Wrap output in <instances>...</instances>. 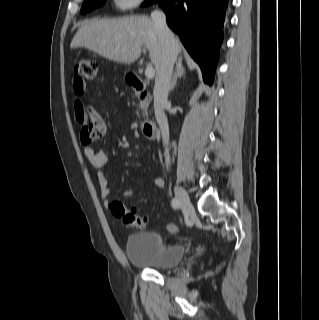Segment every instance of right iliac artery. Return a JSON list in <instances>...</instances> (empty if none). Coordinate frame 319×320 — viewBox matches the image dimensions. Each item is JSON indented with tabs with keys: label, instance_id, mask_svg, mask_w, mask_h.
<instances>
[{
	"label": "right iliac artery",
	"instance_id": "obj_1",
	"mask_svg": "<svg viewBox=\"0 0 319 320\" xmlns=\"http://www.w3.org/2000/svg\"><path fill=\"white\" fill-rule=\"evenodd\" d=\"M171 205H172V207H173L174 209H178L179 206H180V203H179V201H178L177 198H173L172 201H171Z\"/></svg>",
	"mask_w": 319,
	"mask_h": 320
}]
</instances>
